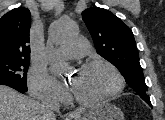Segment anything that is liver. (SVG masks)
Returning <instances> with one entry per match:
<instances>
[{"label": "liver", "instance_id": "obj_1", "mask_svg": "<svg viewBox=\"0 0 165 120\" xmlns=\"http://www.w3.org/2000/svg\"><path fill=\"white\" fill-rule=\"evenodd\" d=\"M83 111L79 109L71 113L68 120L76 118ZM0 120H43L42 104L0 85Z\"/></svg>", "mask_w": 165, "mask_h": 120}]
</instances>
